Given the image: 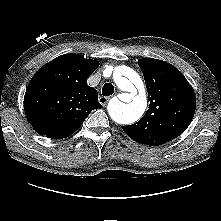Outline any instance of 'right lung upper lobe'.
Masks as SVG:
<instances>
[{"instance_id": "1", "label": "right lung upper lobe", "mask_w": 221, "mask_h": 221, "mask_svg": "<svg viewBox=\"0 0 221 221\" xmlns=\"http://www.w3.org/2000/svg\"><path fill=\"white\" fill-rule=\"evenodd\" d=\"M99 63L71 53L44 65L31 79L24 110L33 129L48 138L74 133L93 109L101 108L97 90L87 78Z\"/></svg>"}]
</instances>
